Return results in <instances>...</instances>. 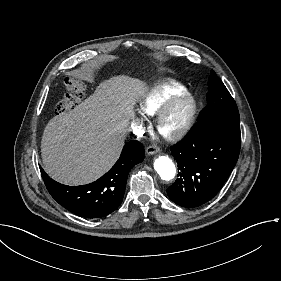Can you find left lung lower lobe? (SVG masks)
Here are the masks:
<instances>
[{
    "label": "left lung lower lobe",
    "instance_id": "1",
    "mask_svg": "<svg viewBox=\"0 0 281 281\" xmlns=\"http://www.w3.org/2000/svg\"><path fill=\"white\" fill-rule=\"evenodd\" d=\"M241 145L239 121H198L188 136L171 148L178 176L167 189L182 207H197L222 188L238 160Z\"/></svg>",
    "mask_w": 281,
    "mask_h": 281
}]
</instances>
